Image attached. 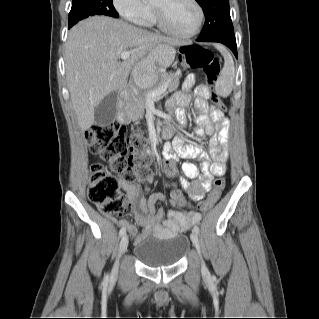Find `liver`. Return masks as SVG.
Listing matches in <instances>:
<instances>
[{
    "instance_id": "6515ba94",
    "label": "liver",
    "mask_w": 319,
    "mask_h": 319,
    "mask_svg": "<svg viewBox=\"0 0 319 319\" xmlns=\"http://www.w3.org/2000/svg\"><path fill=\"white\" fill-rule=\"evenodd\" d=\"M161 43L176 44L111 17H89L71 28L65 45L66 79L82 131L93 125L95 107L111 92L124 90L131 70L148 61ZM128 49L130 57L119 62L120 53Z\"/></svg>"
}]
</instances>
